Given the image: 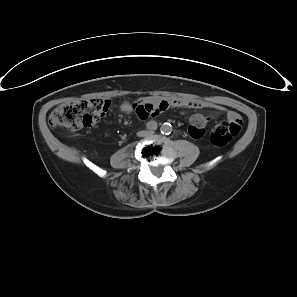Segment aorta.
Listing matches in <instances>:
<instances>
[{
	"instance_id": "obj_1",
	"label": "aorta",
	"mask_w": 297,
	"mask_h": 297,
	"mask_svg": "<svg viewBox=\"0 0 297 297\" xmlns=\"http://www.w3.org/2000/svg\"><path fill=\"white\" fill-rule=\"evenodd\" d=\"M160 131L162 134H170L172 132V126L170 123H164L160 127Z\"/></svg>"
}]
</instances>
